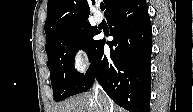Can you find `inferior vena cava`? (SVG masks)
Here are the masks:
<instances>
[{"label":"inferior vena cava","mask_w":193,"mask_h":112,"mask_svg":"<svg viewBox=\"0 0 193 112\" xmlns=\"http://www.w3.org/2000/svg\"><path fill=\"white\" fill-rule=\"evenodd\" d=\"M94 96H95V99L97 100L98 104L100 107H102L103 109V112H109V107L107 105V98H106V95L103 91V89L101 88V86L99 85H96L95 86V92H94Z\"/></svg>","instance_id":"1"}]
</instances>
